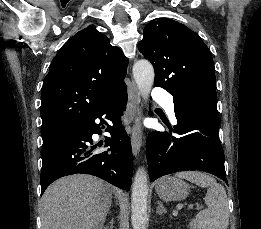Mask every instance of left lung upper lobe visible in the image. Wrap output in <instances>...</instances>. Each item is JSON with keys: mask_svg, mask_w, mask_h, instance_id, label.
I'll list each match as a JSON object with an SVG mask.
<instances>
[{"mask_svg": "<svg viewBox=\"0 0 261 229\" xmlns=\"http://www.w3.org/2000/svg\"><path fill=\"white\" fill-rule=\"evenodd\" d=\"M138 48L154 67V86L167 90L174 105L197 104L218 112L213 59L195 32L161 18L145 26Z\"/></svg>", "mask_w": 261, "mask_h": 229, "instance_id": "obj_1", "label": "left lung upper lobe"}]
</instances>
